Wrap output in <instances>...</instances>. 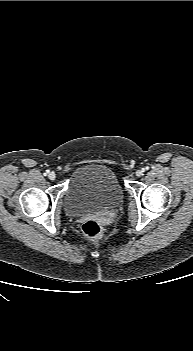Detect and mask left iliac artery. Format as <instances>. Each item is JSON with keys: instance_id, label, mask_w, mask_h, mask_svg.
Here are the masks:
<instances>
[{"instance_id": "left-iliac-artery-1", "label": "left iliac artery", "mask_w": 193, "mask_h": 351, "mask_svg": "<svg viewBox=\"0 0 193 351\" xmlns=\"http://www.w3.org/2000/svg\"><path fill=\"white\" fill-rule=\"evenodd\" d=\"M142 170H143V171H145V170H148V167H146V168H143Z\"/></svg>"}]
</instances>
